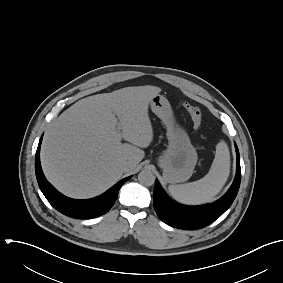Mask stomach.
I'll use <instances>...</instances> for the list:
<instances>
[{
	"label": "stomach",
	"instance_id": "1",
	"mask_svg": "<svg viewBox=\"0 0 283 283\" xmlns=\"http://www.w3.org/2000/svg\"><path fill=\"white\" fill-rule=\"evenodd\" d=\"M150 105L153 113L164 123L169 141L167 150L158 159L163 178L166 183L184 182L193 174L197 163L196 149L187 132L176 123L171 105L163 95H155Z\"/></svg>",
	"mask_w": 283,
	"mask_h": 283
}]
</instances>
